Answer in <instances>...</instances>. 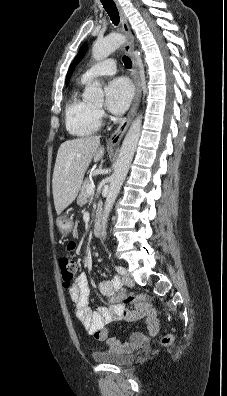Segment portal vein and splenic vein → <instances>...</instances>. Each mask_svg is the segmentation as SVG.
Masks as SVG:
<instances>
[{
	"mask_svg": "<svg viewBox=\"0 0 227 396\" xmlns=\"http://www.w3.org/2000/svg\"><path fill=\"white\" fill-rule=\"evenodd\" d=\"M95 186L93 184H91L88 188H87V193L90 195L94 192Z\"/></svg>",
	"mask_w": 227,
	"mask_h": 396,
	"instance_id": "1",
	"label": "portal vein and splenic vein"
}]
</instances>
